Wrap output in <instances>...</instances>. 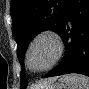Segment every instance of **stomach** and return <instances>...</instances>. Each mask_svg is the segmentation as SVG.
I'll return each instance as SVG.
<instances>
[{
  "label": "stomach",
  "instance_id": "obj_1",
  "mask_svg": "<svg viewBox=\"0 0 89 89\" xmlns=\"http://www.w3.org/2000/svg\"><path fill=\"white\" fill-rule=\"evenodd\" d=\"M47 89H67V88H66V85L63 83H55L51 85L50 87H48Z\"/></svg>",
  "mask_w": 89,
  "mask_h": 89
}]
</instances>
